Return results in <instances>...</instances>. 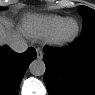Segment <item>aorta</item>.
Masks as SVG:
<instances>
[{"label":"aorta","mask_w":95,"mask_h":95,"mask_svg":"<svg viewBox=\"0 0 95 95\" xmlns=\"http://www.w3.org/2000/svg\"><path fill=\"white\" fill-rule=\"evenodd\" d=\"M45 70H46L45 63L39 59L32 61L29 65V71L34 76L44 75Z\"/></svg>","instance_id":"aorta-1"}]
</instances>
